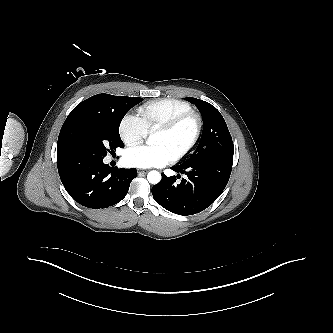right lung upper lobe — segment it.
<instances>
[{
    "label": "right lung upper lobe",
    "instance_id": "cb5924a9",
    "mask_svg": "<svg viewBox=\"0 0 333 333\" xmlns=\"http://www.w3.org/2000/svg\"><path fill=\"white\" fill-rule=\"evenodd\" d=\"M109 94H97L85 101L81 102L78 106L92 107L96 109H104L107 104Z\"/></svg>",
    "mask_w": 333,
    "mask_h": 333
}]
</instances>
